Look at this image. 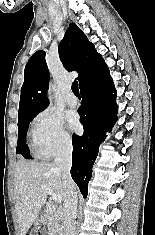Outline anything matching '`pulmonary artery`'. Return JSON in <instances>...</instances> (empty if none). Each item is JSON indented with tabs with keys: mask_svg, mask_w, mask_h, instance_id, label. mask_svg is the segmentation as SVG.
<instances>
[{
	"mask_svg": "<svg viewBox=\"0 0 155 235\" xmlns=\"http://www.w3.org/2000/svg\"><path fill=\"white\" fill-rule=\"evenodd\" d=\"M66 102L70 107H75L78 104V99L72 92H70L66 96Z\"/></svg>",
	"mask_w": 155,
	"mask_h": 235,
	"instance_id": "pulmonary-artery-1",
	"label": "pulmonary artery"
}]
</instances>
